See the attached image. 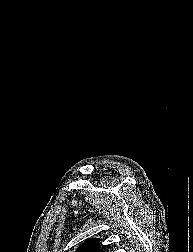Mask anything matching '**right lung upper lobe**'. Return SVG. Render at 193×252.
<instances>
[{
  "label": "right lung upper lobe",
  "instance_id": "right-lung-upper-lobe-1",
  "mask_svg": "<svg viewBox=\"0 0 193 252\" xmlns=\"http://www.w3.org/2000/svg\"><path fill=\"white\" fill-rule=\"evenodd\" d=\"M76 252H101L98 248V239L86 241Z\"/></svg>",
  "mask_w": 193,
  "mask_h": 252
}]
</instances>
